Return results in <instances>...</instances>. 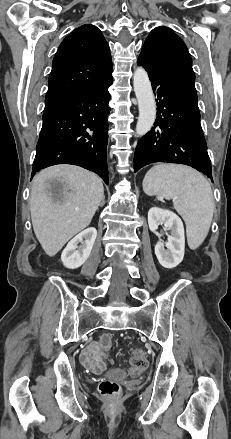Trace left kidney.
Returning <instances> with one entry per match:
<instances>
[{
  "instance_id": "left-kidney-1",
  "label": "left kidney",
  "mask_w": 231,
  "mask_h": 439,
  "mask_svg": "<svg viewBox=\"0 0 231 439\" xmlns=\"http://www.w3.org/2000/svg\"><path fill=\"white\" fill-rule=\"evenodd\" d=\"M148 224L152 232H155L160 224H164V230L170 231L165 245L161 241L156 243L155 254L163 267L169 269L176 267L182 262L185 250L182 220L169 210L152 207L148 212Z\"/></svg>"
}]
</instances>
